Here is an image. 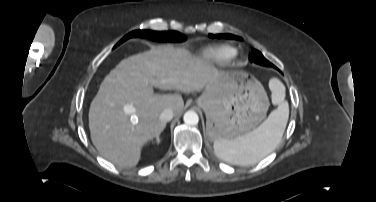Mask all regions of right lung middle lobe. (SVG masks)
<instances>
[{"mask_svg": "<svg viewBox=\"0 0 376 202\" xmlns=\"http://www.w3.org/2000/svg\"><path fill=\"white\" fill-rule=\"evenodd\" d=\"M131 37H142V38H148V39L155 40V41H172V42H180L186 39V37L183 34H180L176 31L157 32V31H151V30H136L127 34L121 41H119L117 45L121 44L122 42H124L125 40Z\"/></svg>", "mask_w": 376, "mask_h": 202, "instance_id": "1", "label": "right lung middle lobe"}]
</instances>
